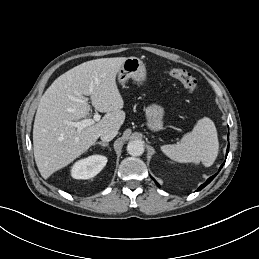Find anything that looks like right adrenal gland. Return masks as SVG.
Here are the masks:
<instances>
[{"instance_id":"1","label":"right adrenal gland","mask_w":259,"mask_h":259,"mask_svg":"<svg viewBox=\"0 0 259 259\" xmlns=\"http://www.w3.org/2000/svg\"><path fill=\"white\" fill-rule=\"evenodd\" d=\"M96 144H99V145H101V146H103V147H106V146L109 145L108 142H96L94 145H96Z\"/></svg>"}]
</instances>
